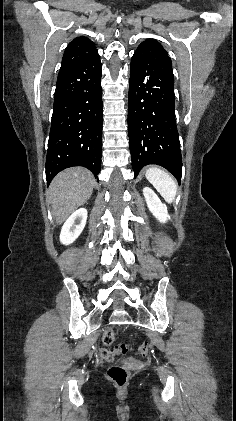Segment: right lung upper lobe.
<instances>
[{
	"instance_id": "1",
	"label": "right lung upper lobe",
	"mask_w": 236,
	"mask_h": 421,
	"mask_svg": "<svg viewBox=\"0 0 236 421\" xmlns=\"http://www.w3.org/2000/svg\"><path fill=\"white\" fill-rule=\"evenodd\" d=\"M98 51L94 43L87 37H77L67 46L63 58L61 68L92 59L97 57Z\"/></svg>"
}]
</instances>
